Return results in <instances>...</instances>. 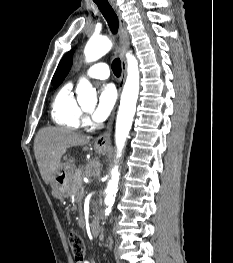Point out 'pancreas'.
<instances>
[{"instance_id": "cf45deb5", "label": "pancreas", "mask_w": 233, "mask_h": 263, "mask_svg": "<svg viewBox=\"0 0 233 263\" xmlns=\"http://www.w3.org/2000/svg\"><path fill=\"white\" fill-rule=\"evenodd\" d=\"M82 178H83V174L80 170H77L71 178L72 189L70 192V196L71 197L73 196L76 202H79L81 200L84 193L83 191L80 190L83 184Z\"/></svg>"}]
</instances>
